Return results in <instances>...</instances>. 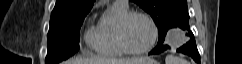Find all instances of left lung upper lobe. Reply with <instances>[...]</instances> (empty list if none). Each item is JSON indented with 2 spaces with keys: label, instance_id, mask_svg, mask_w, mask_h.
<instances>
[{
  "label": "left lung upper lobe",
  "instance_id": "1",
  "mask_svg": "<svg viewBox=\"0 0 242 64\" xmlns=\"http://www.w3.org/2000/svg\"><path fill=\"white\" fill-rule=\"evenodd\" d=\"M151 15L159 29L158 44H164L167 31L188 22L187 0H132Z\"/></svg>",
  "mask_w": 242,
  "mask_h": 64
}]
</instances>
